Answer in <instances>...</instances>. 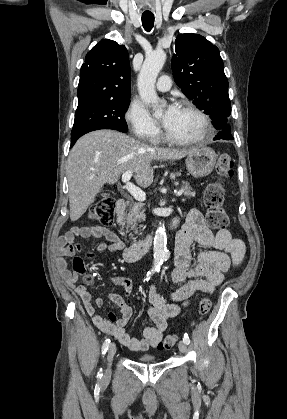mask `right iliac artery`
<instances>
[{
  "instance_id": "1",
  "label": "right iliac artery",
  "mask_w": 287,
  "mask_h": 419,
  "mask_svg": "<svg viewBox=\"0 0 287 419\" xmlns=\"http://www.w3.org/2000/svg\"><path fill=\"white\" fill-rule=\"evenodd\" d=\"M154 273V271L152 270V271H149L148 273H147V275H146V277L144 278V281H148L149 279H150V277H151V275ZM109 345H110V339H106L105 340V342L103 343V345H102V354H105L106 353V351L108 350V348H109ZM102 373H101V370H100V372H98V374H97V377L98 378H101L102 377Z\"/></svg>"
}]
</instances>
